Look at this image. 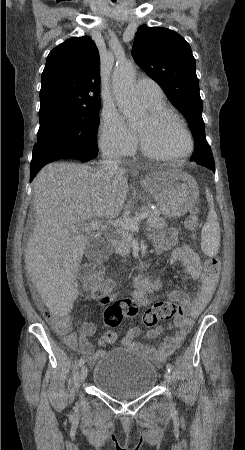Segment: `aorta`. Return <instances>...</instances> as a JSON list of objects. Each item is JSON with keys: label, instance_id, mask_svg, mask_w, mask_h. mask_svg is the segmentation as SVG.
<instances>
[{"label": "aorta", "instance_id": "obj_1", "mask_svg": "<svg viewBox=\"0 0 245 450\" xmlns=\"http://www.w3.org/2000/svg\"><path fill=\"white\" fill-rule=\"evenodd\" d=\"M136 71L132 63H119L113 73V89L117 105L132 125L145 116V109L134 93Z\"/></svg>", "mask_w": 245, "mask_h": 450}]
</instances>
